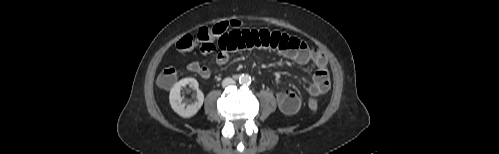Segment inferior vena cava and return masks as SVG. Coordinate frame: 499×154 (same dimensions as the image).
<instances>
[{
	"mask_svg": "<svg viewBox=\"0 0 499 154\" xmlns=\"http://www.w3.org/2000/svg\"><path fill=\"white\" fill-rule=\"evenodd\" d=\"M236 82L232 79V78H225L223 81H222V86L223 87H227L229 85H234Z\"/></svg>",
	"mask_w": 499,
	"mask_h": 154,
	"instance_id": "obj_1",
	"label": "inferior vena cava"
}]
</instances>
